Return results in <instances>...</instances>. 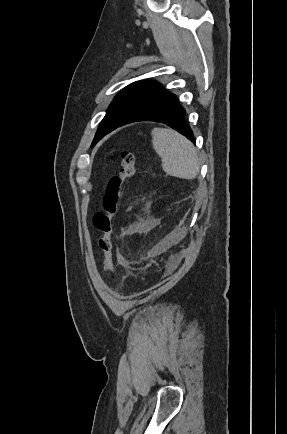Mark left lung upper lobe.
Segmentation results:
<instances>
[{
  "instance_id": "obj_1",
  "label": "left lung upper lobe",
  "mask_w": 287,
  "mask_h": 434,
  "mask_svg": "<svg viewBox=\"0 0 287 434\" xmlns=\"http://www.w3.org/2000/svg\"><path fill=\"white\" fill-rule=\"evenodd\" d=\"M170 93L164 91L158 82L136 81L126 86L112 101L100 123L92 146L103 136L120 127L128 118L145 107L161 101Z\"/></svg>"
}]
</instances>
